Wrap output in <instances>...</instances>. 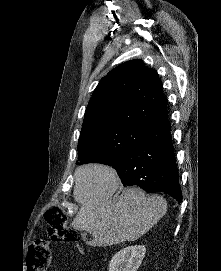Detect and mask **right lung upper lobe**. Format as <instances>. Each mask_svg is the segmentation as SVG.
<instances>
[{"mask_svg":"<svg viewBox=\"0 0 221 271\" xmlns=\"http://www.w3.org/2000/svg\"><path fill=\"white\" fill-rule=\"evenodd\" d=\"M168 118L162 83L142 60L123 63L103 77L86 108L81 136L109 126L147 130Z\"/></svg>","mask_w":221,"mask_h":271,"instance_id":"right-lung-upper-lobe-1","label":"right lung upper lobe"}]
</instances>
